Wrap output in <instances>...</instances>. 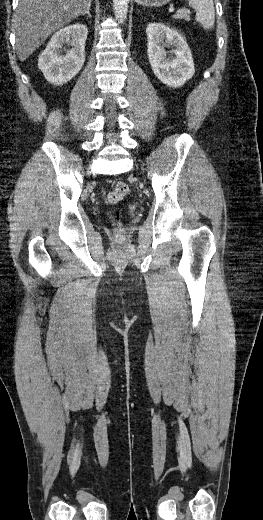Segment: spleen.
<instances>
[{"label": "spleen", "mask_w": 263, "mask_h": 520, "mask_svg": "<svg viewBox=\"0 0 263 520\" xmlns=\"http://www.w3.org/2000/svg\"><path fill=\"white\" fill-rule=\"evenodd\" d=\"M189 6L195 9V20L204 29H210L215 23V9L213 0H188Z\"/></svg>", "instance_id": "spleen-1"}]
</instances>
